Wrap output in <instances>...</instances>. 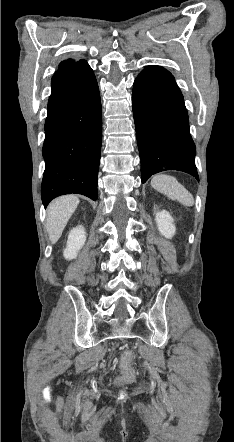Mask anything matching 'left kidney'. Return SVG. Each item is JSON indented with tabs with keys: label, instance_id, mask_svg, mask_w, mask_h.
<instances>
[{
	"label": "left kidney",
	"instance_id": "5707ae66",
	"mask_svg": "<svg viewBox=\"0 0 234 442\" xmlns=\"http://www.w3.org/2000/svg\"><path fill=\"white\" fill-rule=\"evenodd\" d=\"M160 233L166 238H172L176 232L174 219L169 212L162 210L156 213L155 217Z\"/></svg>",
	"mask_w": 234,
	"mask_h": 442
}]
</instances>
